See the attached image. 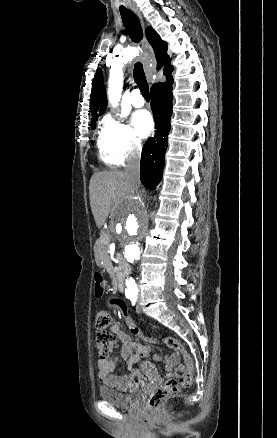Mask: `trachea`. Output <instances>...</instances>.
I'll use <instances>...</instances> for the list:
<instances>
[{"label": "trachea", "instance_id": "obj_1", "mask_svg": "<svg viewBox=\"0 0 277 438\" xmlns=\"http://www.w3.org/2000/svg\"><path fill=\"white\" fill-rule=\"evenodd\" d=\"M120 13L122 17V21L125 27L126 32L131 38L132 42L139 43L143 39V30L140 25V21L138 17L131 10L123 7L120 8ZM134 80L139 87L143 97L146 100L150 99L149 95V85L145 78V73L143 69V65L140 62L135 63L133 70Z\"/></svg>", "mask_w": 277, "mask_h": 438}]
</instances>
